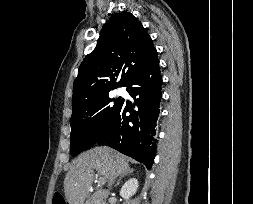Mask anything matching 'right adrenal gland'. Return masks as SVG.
Returning <instances> with one entry per match:
<instances>
[{
    "label": "right adrenal gland",
    "mask_w": 253,
    "mask_h": 204,
    "mask_svg": "<svg viewBox=\"0 0 253 204\" xmlns=\"http://www.w3.org/2000/svg\"><path fill=\"white\" fill-rule=\"evenodd\" d=\"M132 172H133V169H129V171H128L125 175H121V176L119 177V179L117 180V183L114 185V187H117V186L120 184L121 179H122L123 177H125V176L131 174Z\"/></svg>",
    "instance_id": "2a0ac1e0"
}]
</instances>
